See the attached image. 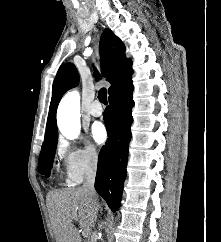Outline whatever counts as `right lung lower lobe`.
I'll list each match as a JSON object with an SVG mask.
<instances>
[{"instance_id": "right-lung-lower-lobe-1", "label": "right lung lower lobe", "mask_w": 221, "mask_h": 242, "mask_svg": "<svg viewBox=\"0 0 221 242\" xmlns=\"http://www.w3.org/2000/svg\"><path fill=\"white\" fill-rule=\"evenodd\" d=\"M131 75L122 79L109 94L110 106L104 113L108 139L99 153L95 179L96 191L113 212L120 206L126 178L130 126L133 120L131 109L134 105Z\"/></svg>"}]
</instances>
